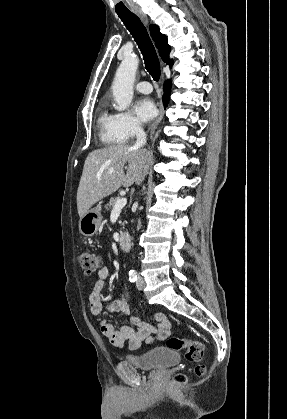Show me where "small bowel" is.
I'll return each instance as SVG.
<instances>
[{
	"mask_svg": "<svg viewBox=\"0 0 287 419\" xmlns=\"http://www.w3.org/2000/svg\"><path fill=\"white\" fill-rule=\"evenodd\" d=\"M109 276L108 268H102L98 271L93 290L89 296V308L93 317L98 321L103 335L108 338L112 345L118 348H128L135 350L140 347L143 342H152L154 338L165 339L170 334L171 325L166 315L158 312L154 315L157 322L156 326L141 321L139 318L131 316V322L137 327L122 326L116 330L102 315L103 302L101 293L105 285V281ZM110 312H122L126 315L130 314L128 306V292L124 289L121 297L110 302L107 306ZM154 334V335H153Z\"/></svg>",
	"mask_w": 287,
	"mask_h": 419,
	"instance_id": "c3829d8e",
	"label": "small bowel"
}]
</instances>
